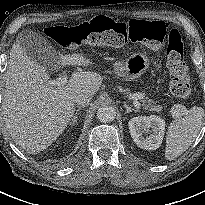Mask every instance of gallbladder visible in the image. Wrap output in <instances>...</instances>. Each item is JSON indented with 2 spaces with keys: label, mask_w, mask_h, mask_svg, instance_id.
Instances as JSON below:
<instances>
[{
  "label": "gallbladder",
  "mask_w": 205,
  "mask_h": 205,
  "mask_svg": "<svg viewBox=\"0 0 205 205\" xmlns=\"http://www.w3.org/2000/svg\"><path fill=\"white\" fill-rule=\"evenodd\" d=\"M17 40L27 55L41 67L50 71L57 68L59 55L45 37L34 31L24 30Z\"/></svg>",
  "instance_id": "obj_1"
}]
</instances>
